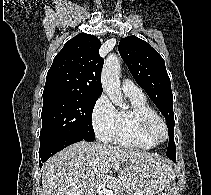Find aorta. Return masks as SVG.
Returning a JSON list of instances; mask_svg holds the SVG:
<instances>
[{
  "label": "aorta",
  "mask_w": 211,
  "mask_h": 195,
  "mask_svg": "<svg viewBox=\"0 0 211 195\" xmlns=\"http://www.w3.org/2000/svg\"><path fill=\"white\" fill-rule=\"evenodd\" d=\"M120 60L119 58L111 54L105 60L102 74L101 82L104 92L110 98V100L117 106L125 108L126 105L123 102V95L120 87Z\"/></svg>",
  "instance_id": "aorta-1"
}]
</instances>
